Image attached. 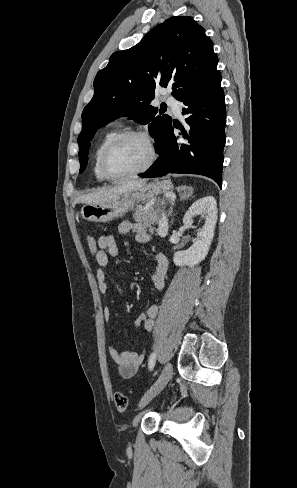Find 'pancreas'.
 Wrapping results in <instances>:
<instances>
[{"label":"pancreas","mask_w":297,"mask_h":488,"mask_svg":"<svg viewBox=\"0 0 297 488\" xmlns=\"http://www.w3.org/2000/svg\"><path fill=\"white\" fill-rule=\"evenodd\" d=\"M133 219L136 222L143 223L146 227H150L156 222H159L160 217L155 207L148 205L146 207L137 208L133 214Z\"/></svg>","instance_id":"pancreas-1"}]
</instances>
